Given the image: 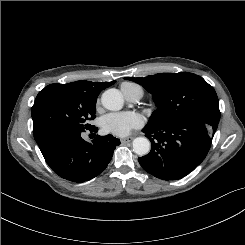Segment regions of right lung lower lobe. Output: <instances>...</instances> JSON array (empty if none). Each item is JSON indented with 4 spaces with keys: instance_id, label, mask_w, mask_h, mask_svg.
<instances>
[{
    "instance_id": "98d812e1",
    "label": "right lung lower lobe",
    "mask_w": 245,
    "mask_h": 245,
    "mask_svg": "<svg viewBox=\"0 0 245 245\" xmlns=\"http://www.w3.org/2000/svg\"><path fill=\"white\" fill-rule=\"evenodd\" d=\"M90 131L97 132L93 127ZM45 161L60 177L84 182L99 175L111 161L120 140L108 134L97 136L92 144L77 131H54L37 143Z\"/></svg>"
}]
</instances>
